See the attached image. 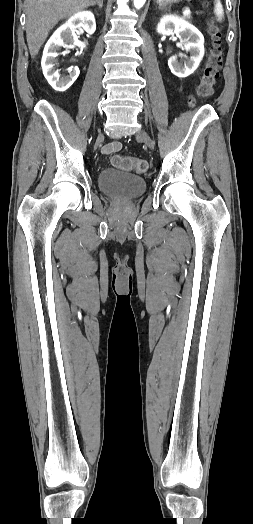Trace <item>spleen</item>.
Listing matches in <instances>:
<instances>
[{"label": "spleen", "mask_w": 253, "mask_h": 524, "mask_svg": "<svg viewBox=\"0 0 253 524\" xmlns=\"http://www.w3.org/2000/svg\"><path fill=\"white\" fill-rule=\"evenodd\" d=\"M214 12H215L216 16H217L219 19H222V18H223V16H224V11H223V7H222V4H221L220 0H216V1H215Z\"/></svg>", "instance_id": "spleen-1"}]
</instances>
